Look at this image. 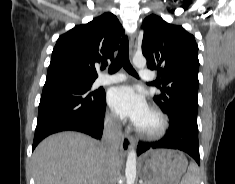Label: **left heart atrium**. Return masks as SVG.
Segmentation results:
<instances>
[{
	"label": "left heart atrium",
	"mask_w": 235,
	"mask_h": 184,
	"mask_svg": "<svg viewBox=\"0 0 235 184\" xmlns=\"http://www.w3.org/2000/svg\"><path fill=\"white\" fill-rule=\"evenodd\" d=\"M107 102L114 117L128 118L136 127H139L143 118L150 111L144 98L128 87L111 89L107 95Z\"/></svg>",
	"instance_id": "left-heart-atrium-1"
}]
</instances>
